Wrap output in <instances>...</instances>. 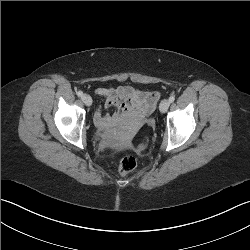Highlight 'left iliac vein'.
Masks as SVG:
<instances>
[{"mask_svg": "<svg viewBox=\"0 0 250 250\" xmlns=\"http://www.w3.org/2000/svg\"><path fill=\"white\" fill-rule=\"evenodd\" d=\"M170 102L167 99L161 101L159 109L162 113H165L169 108Z\"/></svg>", "mask_w": 250, "mask_h": 250, "instance_id": "4c4485c4", "label": "left iliac vein"}]
</instances>
